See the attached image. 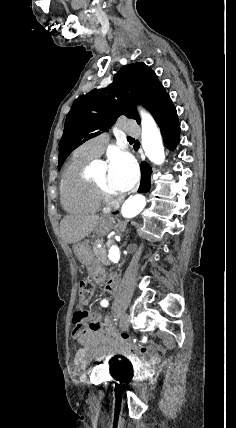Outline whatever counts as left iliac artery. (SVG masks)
Wrapping results in <instances>:
<instances>
[{
	"label": "left iliac artery",
	"mask_w": 236,
	"mask_h": 428,
	"mask_svg": "<svg viewBox=\"0 0 236 428\" xmlns=\"http://www.w3.org/2000/svg\"><path fill=\"white\" fill-rule=\"evenodd\" d=\"M101 305L103 306V307H107L108 306V301L107 300H102L101 301Z\"/></svg>",
	"instance_id": "obj_1"
}]
</instances>
